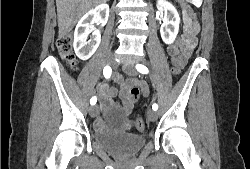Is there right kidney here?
<instances>
[{"mask_svg": "<svg viewBox=\"0 0 250 169\" xmlns=\"http://www.w3.org/2000/svg\"><path fill=\"white\" fill-rule=\"evenodd\" d=\"M108 16L109 4H98L95 8L88 10L76 24L73 46L81 60L90 58L101 42V32L99 28H93V22L100 24L101 28V26H105ZM88 32H92L91 40H87Z\"/></svg>", "mask_w": 250, "mask_h": 169, "instance_id": "right-kidney-1", "label": "right kidney"}]
</instances>
